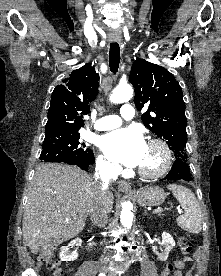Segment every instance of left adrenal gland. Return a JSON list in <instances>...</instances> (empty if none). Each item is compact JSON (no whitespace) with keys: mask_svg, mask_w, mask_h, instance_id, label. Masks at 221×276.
Masks as SVG:
<instances>
[{"mask_svg":"<svg viewBox=\"0 0 221 276\" xmlns=\"http://www.w3.org/2000/svg\"><path fill=\"white\" fill-rule=\"evenodd\" d=\"M144 215H148L147 211H144Z\"/></svg>","mask_w":221,"mask_h":276,"instance_id":"a2214340","label":"left adrenal gland"}]
</instances>
